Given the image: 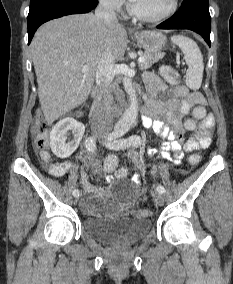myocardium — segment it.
<instances>
[{"label": "myocardium", "instance_id": "1", "mask_svg": "<svg viewBox=\"0 0 233 284\" xmlns=\"http://www.w3.org/2000/svg\"><path fill=\"white\" fill-rule=\"evenodd\" d=\"M178 6H179V0H171L169 8L164 13L157 16H147L138 12L134 8L132 1H130L128 5V11L132 16H134L138 20L148 23H158L170 18L177 11Z\"/></svg>", "mask_w": 233, "mask_h": 284}]
</instances>
